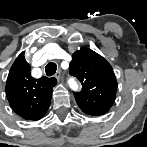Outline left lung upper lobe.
I'll return each mask as SVG.
<instances>
[{"label":"left lung upper lobe","instance_id":"1","mask_svg":"<svg viewBox=\"0 0 147 147\" xmlns=\"http://www.w3.org/2000/svg\"><path fill=\"white\" fill-rule=\"evenodd\" d=\"M69 73L82 84V91L74 93L80 109L91 116L107 113L118 86L111 65L98 53L82 47L73 53Z\"/></svg>","mask_w":147,"mask_h":147}]
</instances>
